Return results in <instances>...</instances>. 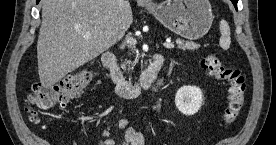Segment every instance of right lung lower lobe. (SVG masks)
<instances>
[{"mask_svg": "<svg viewBox=\"0 0 276 145\" xmlns=\"http://www.w3.org/2000/svg\"><path fill=\"white\" fill-rule=\"evenodd\" d=\"M40 0H36V2L38 3Z\"/></svg>", "mask_w": 276, "mask_h": 145, "instance_id": "right-lung-lower-lobe-1", "label": "right lung lower lobe"}]
</instances>
